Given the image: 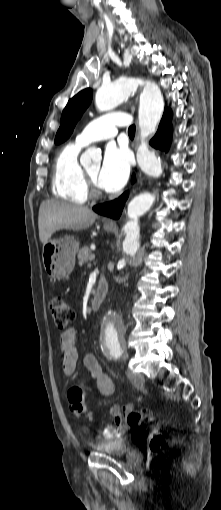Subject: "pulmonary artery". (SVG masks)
<instances>
[{
	"instance_id": "1",
	"label": "pulmonary artery",
	"mask_w": 221,
	"mask_h": 510,
	"mask_svg": "<svg viewBox=\"0 0 221 510\" xmlns=\"http://www.w3.org/2000/svg\"><path fill=\"white\" fill-rule=\"evenodd\" d=\"M131 118L121 112H114L103 115L92 120L76 137V142L81 146L90 143L110 139L117 135L119 127H127Z\"/></svg>"
}]
</instances>
